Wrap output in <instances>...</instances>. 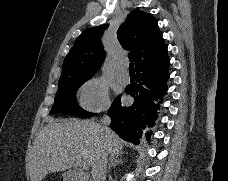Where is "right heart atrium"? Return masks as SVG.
I'll return each instance as SVG.
<instances>
[{"label":"right heart atrium","mask_w":228,"mask_h":181,"mask_svg":"<svg viewBox=\"0 0 228 181\" xmlns=\"http://www.w3.org/2000/svg\"><path fill=\"white\" fill-rule=\"evenodd\" d=\"M82 104L91 111L104 110L109 105V90L100 79L91 80L82 92Z\"/></svg>","instance_id":"d8ad5b80"}]
</instances>
